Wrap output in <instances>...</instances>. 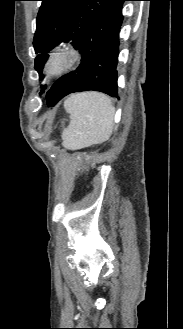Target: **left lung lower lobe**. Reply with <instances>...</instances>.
<instances>
[{
    "label": "left lung lower lobe",
    "instance_id": "0a47b994",
    "mask_svg": "<svg viewBox=\"0 0 183 329\" xmlns=\"http://www.w3.org/2000/svg\"><path fill=\"white\" fill-rule=\"evenodd\" d=\"M125 1L129 0H118L105 10L85 32L78 46L81 63L76 70L62 76L52 85L46 94L48 107H53L70 93L86 90L119 98L117 57Z\"/></svg>",
    "mask_w": 183,
    "mask_h": 329
}]
</instances>
